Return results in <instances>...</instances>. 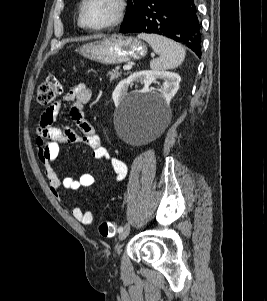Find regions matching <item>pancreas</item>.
<instances>
[{"mask_svg":"<svg viewBox=\"0 0 267 301\" xmlns=\"http://www.w3.org/2000/svg\"><path fill=\"white\" fill-rule=\"evenodd\" d=\"M121 74H122V73H121L119 67L113 69L112 71H110V72L108 73V75L110 76V79H111V80H115V79L119 78V77L121 76Z\"/></svg>","mask_w":267,"mask_h":301,"instance_id":"cf45deb5","label":"pancreas"}]
</instances>
